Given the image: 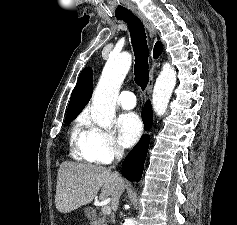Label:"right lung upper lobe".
<instances>
[{
  "label": "right lung upper lobe",
  "instance_id": "1",
  "mask_svg": "<svg viewBox=\"0 0 237 225\" xmlns=\"http://www.w3.org/2000/svg\"><path fill=\"white\" fill-rule=\"evenodd\" d=\"M163 50L162 44L158 41L154 46V58H157ZM93 90L92 68L87 67L82 70L77 84L72 91L67 115L80 113L89 102Z\"/></svg>",
  "mask_w": 237,
  "mask_h": 225
}]
</instances>
